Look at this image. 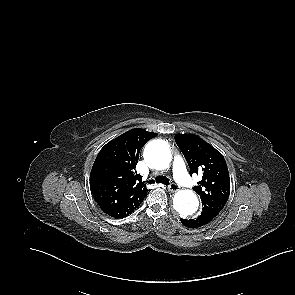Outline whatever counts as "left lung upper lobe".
<instances>
[{
  "instance_id": "obj_1",
  "label": "left lung upper lobe",
  "mask_w": 295,
  "mask_h": 295,
  "mask_svg": "<svg viewBox=\"0 0 295 295\" xmlns=\"http://www.w3.org/2000/svg\"><path fill=\"white\" fill-rule=\"evenodd\" d=\"M175 141L193 173L202 174L194 191L201 197L202 211L220 212L230 194V178L223 155L194 134H176Z\"/></svg>"
}]
</instances>
